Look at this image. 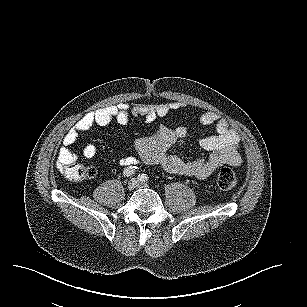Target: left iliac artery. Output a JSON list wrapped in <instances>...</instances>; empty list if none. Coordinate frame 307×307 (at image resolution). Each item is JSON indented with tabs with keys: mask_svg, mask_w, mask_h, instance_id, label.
<instances>
[{
	"mask_svg": "<svg viewBox=\"0 0 307 307\" xmlns=\"http://www.w3.org/2000/svg\"><path fill=\"white\" fill-rule=\"evenodd\" d=\"M138 179L142 182H145L148 180V176L146 174H139Z\"/></svg>",
	"mask_w": 307,
	"mask_h": 307,
	"instance_id": "obj_1",
	"label": "left iliac artery"
}]
</instances>
